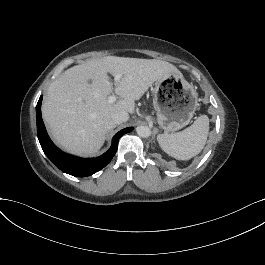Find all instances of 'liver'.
I'll return each mask as SVG.
<instances>
[{
	"label": "liver",
	"instance_id": "6515ba94",
	"mask_svg": "<svg viewBox=\"0 0 265 265\" xmlns=\"http://www.w3.org/2000/svg\"><path fill=\"white\" fill-rule=\"evenodd\" d=\"M108 74L120 76L116 103ZM182 78L171 64L161 60L106 56L67 70L53 81L44 96L43 119L54 140L75 153L90 155L102 146L106 134L115 128L112 114H133L135 102L159 80Z\"/></svg>",
	"mask_w": 265,
	"mask_h": 265
}]
</instances>
